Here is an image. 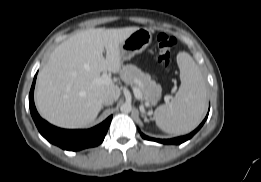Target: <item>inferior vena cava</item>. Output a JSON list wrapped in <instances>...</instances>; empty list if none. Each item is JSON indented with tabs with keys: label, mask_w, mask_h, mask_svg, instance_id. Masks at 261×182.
Returning a JSON list of instances; mask_svg holds the SVG:
<instances>
[{
	"label": "inferior vena cava",
	"mask_w": 261,
	"mask_h": 182,
	"mask_svg": "<svg viewBox=\"0 0 261 182\" xmlns=\"http://www.w3.org/2000/svg\"><path fill=\"white\" fill-rule=\"evenodd\" d=\"M101 102L104 104V105H112L113 102H114V98L113 96L109 95V94H106L104 95L102 98H101Z\"/></svg>",
	"instance_id": "1"
}]
</instances>
